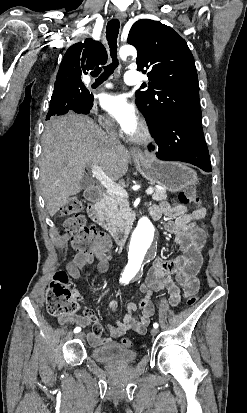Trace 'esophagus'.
<instances>
[{
	"mask_svg": "<svg viewBox=\"0 0 247 413\" xmlns=\"http://www.w3.org/2000/svg\"><path fill=\"white\" fill-rule=\"evenodd\" d=\"M116 18H118V20H120L121 22H124L126 19V13L118 12L116 14ZM130 152L133 158H138L140 155H142V151L137 146L130 147Z\"/></svg>",
	"mask_w": 247,
	"mask_h": 413,
	"instance_id": "34e87169",
	"label": "esophagus"
}]
</instances>
